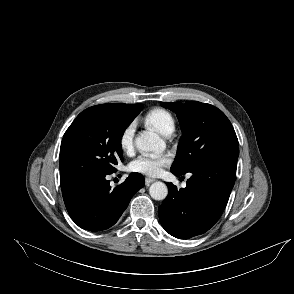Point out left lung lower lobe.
<instances>
[{
  "instance_id": "obj_1",
  "label": "left lung lower lobe",
  "mask_w": 294,
  "mask_h": 294,
  "mask_svg": "<svg viewBox=\"0 0 294 294\" xmlns=\"http://www.w3.org/2000/svg\"><path fill=\"white\" fill-rule=\"evenodd\" d=\"M238 154L239 148L231 147L210 157L190 172L186 188L178 190L166 183L169 193L158 214L169 234L188 239L205 233L217 222L235 183Z\"/></svg>"
}]
</instances>
